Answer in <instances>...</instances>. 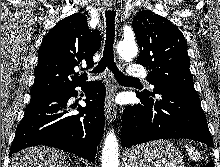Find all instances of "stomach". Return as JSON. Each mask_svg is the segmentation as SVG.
Masks as SVG:
<instances>
[{
  "label": "stomach",
  "mask_w": 220,
  "mask_h": 167,
  "mask_svg": "<svg viewBox=\"0 0 220 167\" xmlns=\"http://www.w3.org/2000/svg\"><path fill=\"white\" fill-rule=\"evenodd\" d=\"M128 167H184L183 157L173 143L153 141L125 153Z\"/></svg>",
  "instance_id": "1"
}]
</instances>
